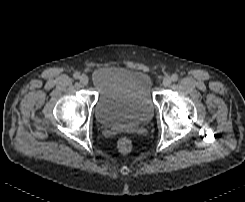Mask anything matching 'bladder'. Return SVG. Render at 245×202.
Masks as SVG:
<instances>
[{
  "label": "bladder",
  "instance_id": "31cf9c89",
  "mask_svg": "<svg viewBox=\"0 0 245 202\" xmlns=\"http://www.w3.org/2000/svg\"><path fill=\"white\" fill-rule=\"evenodd\" d=\"M90 78L97 92L93 114L98 125L143 124L154 117L153 81L148 72L108 66L94 69Z\"/></svg>",
  "mask_w": 245,
  "mask_h": 202
}]
</instances>
